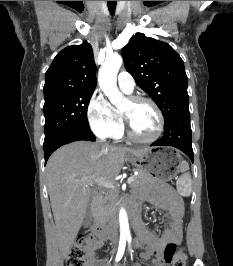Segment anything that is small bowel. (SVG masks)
Wrapping results in <instances>:
<instances>
[{
  "label": "small bowel",
  "mask_w": 233,
  "mask_h": 266,
  "mask_svg": "<svg viewBox=\"0 0 233 266\" xmlns=\"http://www.w3.org/2000/svg\"><path fill=\"white\" fill-rule=\"evenodd\" d=\"M165 214L166 229L161 235L148 230L144 224L138 220L136 223L138 238L135 241L136 247L145 248L141 255L143 259H151L155 266H165L163 261V251L168 244H177L182 238L184 207L181 198L168 186H162L155 194L146 198ZM105 241L92 238L88 247L86 266H110V262L105 257H100L97 250L103 247ZM139 266V265H136Z\"/></svg>",
  "instance_id": "1"
}]
</instances>
